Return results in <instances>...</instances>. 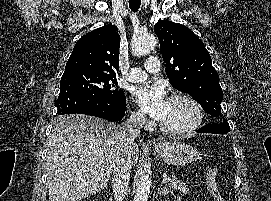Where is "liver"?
<instances>
[{"label": "liver", "instance_id": "1", "mask_svg": "<svg viewBox=\"0 0 271 201\" xmlns=\"http://www.w3.org/2000/svg\"><path fill=\"white\" fill-rule=\"evenodd\" d=\"M117 125L87 115L55 119L48 139L46 174L49 201H80L105 188L121 153ZM131 164L139 148L131 146Z\"/></svg>", "mask_w": 271, "mask_h": 201}]
</instances>
